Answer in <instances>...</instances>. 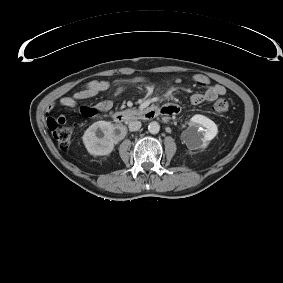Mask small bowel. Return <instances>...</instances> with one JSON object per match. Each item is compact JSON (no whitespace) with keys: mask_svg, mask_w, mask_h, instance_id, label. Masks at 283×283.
I'll return each instance as SVG.
<instances>
[{"mask_svg":"<svg viewBox=\"0 0 283 283\" xmlns=\"http://www.w3.org/2000/svg\"><path fill=\"white\" fill-rule=\"evenodd\" d=\"M193 81L196 85L205 90L200 93H194L190 96V101L194 105H199L204 102L214 101L226 93V89L222 85H210V80L203 74H195ZM146 82L144 77H133L129 79H118L114 82L108 80H92L74 91L70 95L63 96L59 99V104L67 108H76L80 100L92 98L99 93L105 92L112 86L121 87L126 84H143ZM53 106L49 107V111ZM112 108V102L109 100L103 101L96 106H82L81 112L86 117H93L101 112H108ZM166 115L176 114L178 109L173 105H165L162 108ZM66 119L63 115L58 117H47V126L52 129L57 124H64Z\"/></svg>","mask_w":283,"mask_h":283,"instance_id":"c3829d8e","label":"small bowel"}]
</instances>
